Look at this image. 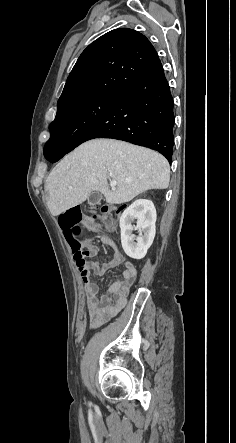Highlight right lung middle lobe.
I'll return each instance as SVG.
<instances>
[{
	"mask_svg": "<svg viewBox=\"0 0 236 443\" xmlns=\"http://www.w3.org/2000/svg\"><path fill=\"white\" fill-rule=\"evenodd\" d=\"M115 96L98 94L58 112L50 124L51 136L44 149L52 146L66 148L80 128L100 113Z\"/></svg>",
	"mask_w": 236,
	"mask_h": 443,
	"instance_id": "obj_1",
	"label": "right lung middle lobe"
}]
</instances>
